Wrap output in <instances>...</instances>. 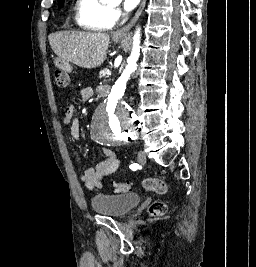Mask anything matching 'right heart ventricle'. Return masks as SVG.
I'll use <instances>...</instances> for the list:
<instances>
[{
	"instance_id": "1",
	"label": "right heart ventricle",
	"mask_w": 256,
	"mask_h": 267,
	"mask_svg": "<svg viewBox=\"0 0 256 267\" xmlns=\"http://www.w3.org/2000/svg\"><path fill=\"white\" fill-rule=\"evenodd\" d=\"M112 4V0H81L79 9L85 8L88 13L86 20L81 22V27L93 28L94 31H100L99 24L109 16ZM87 35L91 36L90 33H87Z\"/></svg>"
}]
</instances>
